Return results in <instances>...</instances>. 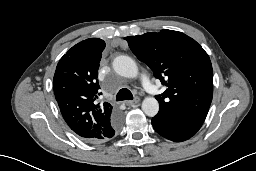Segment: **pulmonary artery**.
<instances>
[{
    "mask_svg": "<svg viewBox=\"0 0 256 171\" xmlns=\"http://www.w3.org/2000/svg\"><path fill=\"white\" fill-rule=\"evenodd\" d=\"M143 87L146 91L152 93V84L147 77H144L143 79Z\"/></svg>",
    "mask_w": 256,
    "mask_h": 171,
    "instance_id": "1",
    "label": "pulmonary artery"
}]
</instances>
